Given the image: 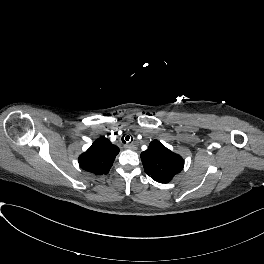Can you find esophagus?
<instances>
[{
	"label": "esophagus",
	"instance_id": "34e87169",
	"mask_svg": "<svg viewBox=\"0 0 264 264\" xmlns=\"http://www.w3.org/2000/svg\"><path fill=\"white\" fill-rule=\"evenodd\" d=\"M126 149H130V150H135L136 149V145L135 144H130V145H125Z\"/></svg>",
	"mask_w": 264,
	"mask_h": 264
}]
</instances>
